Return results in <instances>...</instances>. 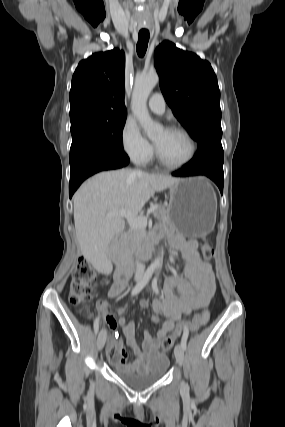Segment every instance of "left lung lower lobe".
<instances>
[{
    "label": "left lung lower lobe",
    "instance_id": "left-lung-lower-lobe-1",
    "mask_svg": "<svg viewBox=\"0 0 285 427\" xmlns=\"http://www.w3.org/2000/svg\"><path fill=\"white\" fill-rule=\"evenodd\" d=\"M223 148L221 146H206L198 149L196 156L173 176L186 177L194 175H206L211 178L223 192Z\"/></svg>",
    "mask_w": 285,
    "mask_h": 427
}]
</instances>
